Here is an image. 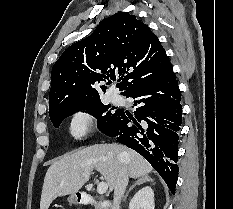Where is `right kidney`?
I'll list each match as a JSON object with an SVG mask.
<instances>
[{"label":"right kidney","instance_id":"obj_1","mask_svg":"<svg viewBox=\"0 0 233 209\" xmlns=\"http://www.w3.org/2000/svg\"><path fill=\"white\" fill-rule=\"evenodd\" d=\"M129 209H155L153 189L146 186L139 190L131 199Z\"/></svg>","mask_w":233,"mask_h":209}]
</instances>
